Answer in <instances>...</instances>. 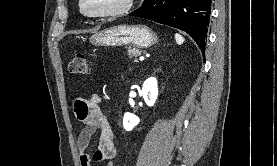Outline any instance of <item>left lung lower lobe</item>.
<instances>
[{"label": "left lung lower lobe", "instance_id": "left-lung-lower-lobe-1", "mask_svg": "<svg viewBox=\"0 0 277 166\" xmlns=\"http://www.w3.org/2000/svg\"><path fill=\"white\" fill-rule=\"evenodd\" d=\"M210 14L211 0H146L129 15L183 30L204 52Z\"/></svg>", "mask_w": 277, "mask_h": 166}]
</instances>
